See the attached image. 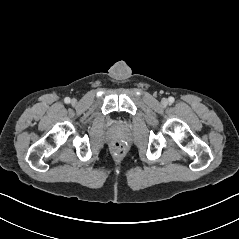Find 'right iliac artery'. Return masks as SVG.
Returning <instances> with one entry per match:
<instances>
[{"label":"right iliac artery","mask_w":239,"mask_h":239,"mask_svg":"<svg viewBox=\"0 0 239 239\" xmlns=\"http://www.w3.org/2000/svg\"><path fill=\"white\" fill-rule=\"evenodd\" d=\"M64 101H65V103H70V98L69 97H66L65 99H64Z\"/></svg>","instance_id":"right-iliac-artery-1"}]
</instances>
